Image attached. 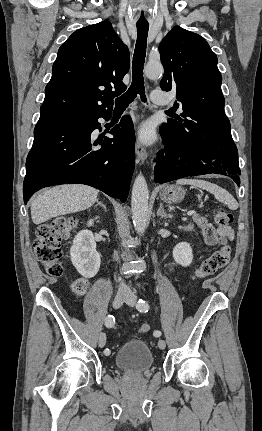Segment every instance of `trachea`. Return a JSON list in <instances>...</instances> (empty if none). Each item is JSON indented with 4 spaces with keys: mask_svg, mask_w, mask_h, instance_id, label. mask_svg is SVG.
I'll list each match as a JSON object with an SVG mask.
<instances>
[{
    "mask_svg": "<svg viewBox=\"0 0 262 431\" xmlns=\"http://www.w3.org/2000/svg\"><path fill=\"white\" fill-rule=\"evenodd\" d=\"M137 40L132 62V83L129 89L115 100V110H125L137 94L146 102L144 94L143 67L146 56L149 26L137 25Z\"/></svg>",
    "mask_w": 262,
    "mask_h": 431,
    "instance_id": "3493384b",
    "label": "trachea"
}]
</instances>
